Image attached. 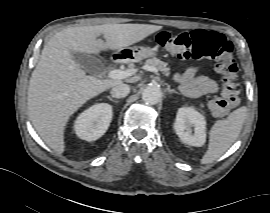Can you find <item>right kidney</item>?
I'll return each instance as SVG.
<instances>
[{"label":"right kidney","mask_w":270,"mask_h":213,"mask_svg":"<svg viewBox=\"0 0 270 213\" xmlns=\"http://www.w3.org/2000/svg\"><path fill=\"white\" fill-rule=\"evenodd\" d=\"M112 106L99 103L82 112L76 119V135L86 141H94L107 131L112 120Z\"/></svg>","instance_id":"obj_1"}]
</instances>
